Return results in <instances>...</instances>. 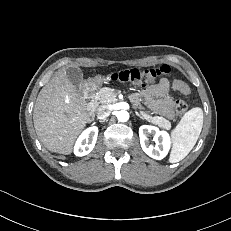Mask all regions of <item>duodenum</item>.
Returning a JSON list of instances; mask_svg holds the SVG:
<instances>
[{
    "mask_svg": "<svg viewBox=\"0 0 231 231\" xmlns=\"http://www.w3.org/2000/svg\"><path fill=\"white\" fill-rule=\"evenodd\" d=\"M82 99L87 106V110L92 112L95 108V96L92 85L84 86L82 90Z\"/></svg>",
    "mask_w": 231,
    "mask_h": 231,
    "instance_id": "duodenum-1",
    "label": "duodenum"
}]
</instances>
